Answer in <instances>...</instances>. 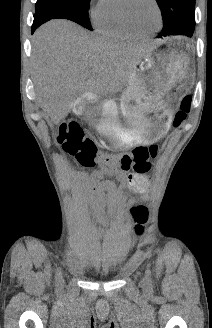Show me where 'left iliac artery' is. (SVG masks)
Segmentation results:
<instances>
[{
    "label": "left iliac artery",
    "instance_id": "obj_1",
    "mask_svg": "<svg viewBox=\"0 0 212 328\" xmlns=\"http://www.w3.org/2000/svg\"><path fill=\"white\" fill-rule=\"evenodd\" d=\"M146 279H147L148 282L151 281V271H150V269L146 270Z\"/></svg>",
    "mask_w": 212,
    "mask_h": 328
}]
</instances>
